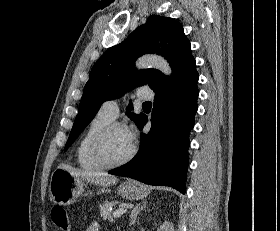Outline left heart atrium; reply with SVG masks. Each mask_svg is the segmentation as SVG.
Wrapping results in <instances>:
<instances>
[{
    "label": "left heart atrium",
    "mask_w": 280,
    "mask_h": 231,
    "mask_svg": "<svg viewBox=\"0 0 280 231\" xmlns=\"http://www.w3.org/2000/svg\"><path fill=\"white\" fill-rule=\"evenodd\" d=\"M123 133H124V138H125V141L126 143L129 145V146H133L134 144V140L136 138V131L134 128H129V127H124L123 128Z\"/></svg>",
    "instance_id": "obj_1"
}]
</instances>
